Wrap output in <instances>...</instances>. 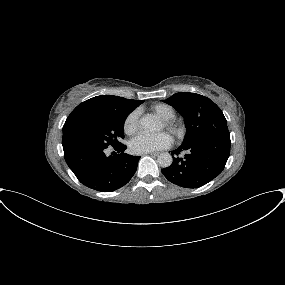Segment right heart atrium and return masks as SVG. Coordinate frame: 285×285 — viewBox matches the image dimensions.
Wrapping results in <instances>:
<instances>
[{
  "label": "right heart atrium",
  "mask_w": 285,
  "mask_h": 285,
  "mask_svg": "<svg viewBox=\"0 0 285 285\" xmlns=\"http://www.w3.org/2000/svg\"><path fill=\"white\" fill-rule=\"evenodd\" d=\"M139 127V113L137 110L132 111L124 123V131L127 134L134 133Z\"/></svg>",
  "instance_id": "right-heart-atrium-1"
}]
</instances>
